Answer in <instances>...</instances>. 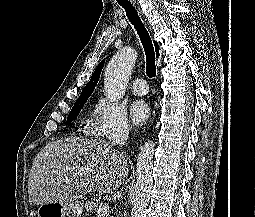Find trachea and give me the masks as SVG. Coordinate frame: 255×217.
Segmentation results:
<instances>
[{
  "instance_id": "trachea-1",
  "label": "trachea",
  "mask_w": 255,
  "mask_h": 217,
  "mask_svg": "<svg viewBox=\"0 0 255 217\" xmlns=\"http://www.w3.org/2000/svg\"><path fill=\"white\" fill-rule=\"evenodd\" d=\"M120 6L125 9L129 21L134 25L141 39L146 55V74L149 78H153L156 76L155 52L149 33L131 3H121Z\"/></svg>"
}]
</instances>
